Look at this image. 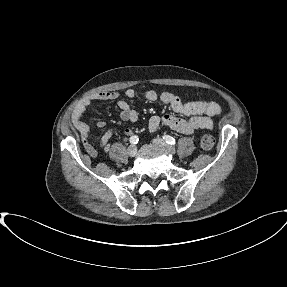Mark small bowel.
<instances>
[{
	"mask_svg": "<svg viewBox=\"0 0 287 287\" xmlns=\"http://www.w3.org/2000/svg\"><path fill=\"white\" fill-rule=\"evenodd\" d=\"M135 91L128 89L125 91L127 98H134ZM119 97L117 92L113 91H101L94 93L85 99H83L74 109L72 114V123L74 127L79 131L84 139V145L87 152L95 156L96 151L88 145L86 137L90 132V128L83 120V114L88 106L95 100H116ZM144 99L149 102L160 100L164 104H167L171 109L179 114L187 116L186 119L175 117L172 115L152 116L148 121V128L151 132H156L162 125H165L182 134H192L196 130L210 131L213 129V117H217L221 114L220 106L212 100H188L184 101L180 97L174 95L171 92L164 91L157 93L153 90L146 91L143 95ZM117 106L119 109L120 118L126 122H135L138 119V113L130 107V104L126 100H118ZM104 120H99L97 126L102 128L105 126ZM126 135L133 133L132 129H125ZM114 134L113 130L106 131L100 140V145L104 149H108L109 141Z\"/></svg>",
	"mask_w": 287,
	"mask_h": 287,
	"instance_id": "c3829d8e",
	"label": "small bowel"
}]
</instances>
